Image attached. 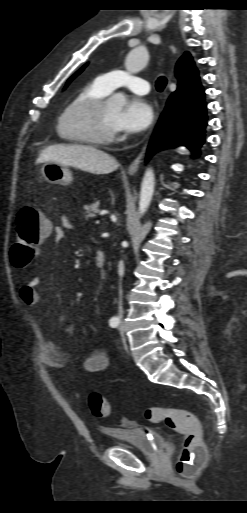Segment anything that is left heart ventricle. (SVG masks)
<instances>
[{"mask_svg":"<svg viewBox=\"0 0 247 513\" xmlns=\"http://www.w3.org/2000/svg\"><path fill=\"white\" fill-rule=\"evenodd\" d=\"M119 106L113 101H108L102 113V126L106 131H115L114 120L119 113Z\"/></svg>","mask_w":247,"mask_h":513,"instance_id":"1","label":"left heart ventricle"}]
</instances>
